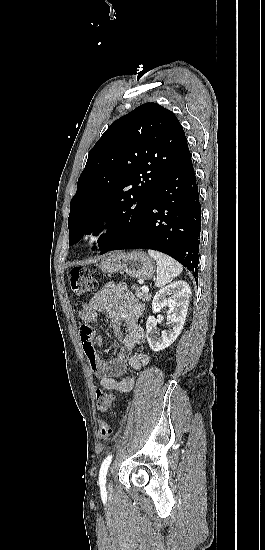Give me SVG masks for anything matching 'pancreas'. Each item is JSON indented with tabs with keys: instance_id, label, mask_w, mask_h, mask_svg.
<instances>
[{
	"instance_id": "obj_1",
	"label": "pancreas",
	"mask_w": 265,
	"mask_h": 550,
	"mask_svg": "<svg viewBox=\"0 0 265 550\" xmlns=\"http://www.w3.org/2000/svg\"><path fill=\"white\" fill-rule=\"evenodd\" d=\"M132 289L135 291L136 296L144 302H148L151 298V295L143 292L142 288L137 285H133Z\"/></svg>"
}]
</instances>
